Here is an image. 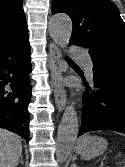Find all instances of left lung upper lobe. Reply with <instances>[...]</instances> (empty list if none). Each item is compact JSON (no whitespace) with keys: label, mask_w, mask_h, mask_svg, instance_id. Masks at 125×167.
Wrapping results in <instances>:
<instances>
[{"label":"left lung upper lobe","mask_w":125,"mask_h":167,"mask_svg":"<svg viewBox=\"0 0 125 167\" xmlns=\"http://www.w3.org/2000/svg\"><path fill=\"white\" fill-rule=\"evenodd\" d=\"M73 22L70 44L88 49L94 66L125 72V23L111 0H53L52 13Z\"/></svg>","instance_id":"obj_1"}]
</instances>
